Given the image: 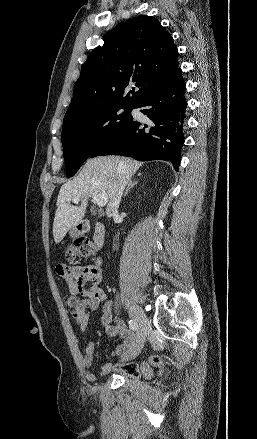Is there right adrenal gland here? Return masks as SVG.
<instances>
[{"instance_id":"1","label":"right adrenal gland","mask_w":257,"mask_h":439,"mask_svg":"<svg viewBox=\"0 0 257 439\" xmlns=\"http://www.w3.org/2000/svg\"><path fill=\"white\" fill-rule=\"evenodd\" d=\"M140 175L141 174L139 173L138 176H140ZM137 184H138V181H130L123 196L125 197L128 194L129 190Z\"/></svg>"}]
</instances>
